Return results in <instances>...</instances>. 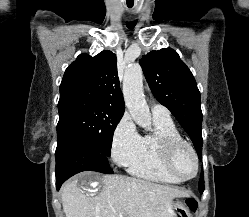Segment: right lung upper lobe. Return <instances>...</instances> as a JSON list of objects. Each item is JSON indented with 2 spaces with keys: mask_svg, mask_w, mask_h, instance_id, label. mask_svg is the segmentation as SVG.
I'll return each instance as SVG.
<instances>
[{
  "mask_svg": "<svg viewBox=\"0 0 249 217\" xmlns=\"http://www.w3.org/2000/svg\"><path fill=\"white\" fill-rule=\"evenodd\" d=\"M66 97L90 99L124 111L116 55L108 50L96 56L80 54L66 69L60 85V98Z\"/></svg>",
  "mask_w": 249,
  "mask_h": 217,
  "instance_id": "1",
  "label": "right lung upper lobe"
}]
</instances>
